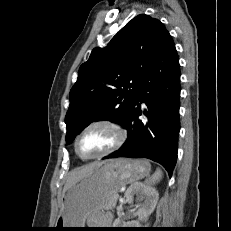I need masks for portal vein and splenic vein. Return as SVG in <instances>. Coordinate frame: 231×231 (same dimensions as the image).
<instances>
[{
  "mask_svg": "<svg viewBox=\"0 0 231 231\" xmlns=\"http://www.w3.org/2000/svg\"><path fill=\"white\" fill-rule=\"evenodd\" d=\"M115 198L117 199V198H118V195H115Z\"/></svg>",
  "mask_w": 231,
  "mask_h": 231,
  "instance_id": "18ae733b",
  "label": "portal vein and splenic vein"
}]
</instances>
